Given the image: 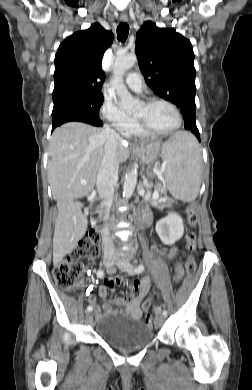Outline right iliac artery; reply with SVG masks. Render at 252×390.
I'll return each instance as SVG.
<instances>
[{"label": "right iliac artery", "mask_w": 252, "mask_h": 390, "mask_svg": "<svg viewBox=\"0 0 252 390\" xmlns=\"http://www.w3.org/2000/svg\"><path fill=\"white\" fill-rule=\"evenodd\" d=\"M103 276H104V271L101 270V269L98 270V271H97V277H98V278H103ZM92 310H93V307L89 305V306L87 307V311H88V312H91Z\"/></svg>", "instance_id": "82829eb1"}]
</instances>
